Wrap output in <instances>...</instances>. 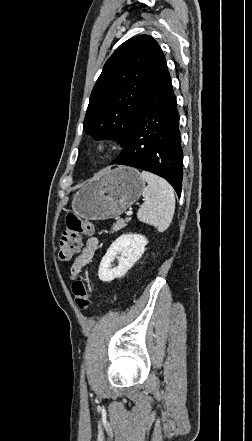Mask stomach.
Segmentation results:
<instances>
[{
	"instance_id": "stomach-1",
	"label": "stomach",
	"mask_w": 252,
	"mask_h": 441,
	"mask_svg": "<svg viewBox=\"0 0 252 441\" xmlns=\"http://www.w3.org/2000/svg\"><path fill=\"white\" fill-rule=\"evenodd\" d=\"M144 188L145 181L138 170L120 166L103 172L79 190L72 209L88 220L118 217L139 199Z\"/></svg>"
}]
</instances>
